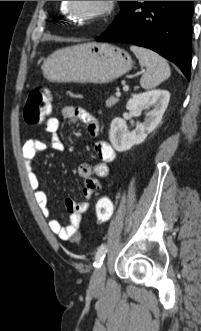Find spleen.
<instances>
[{"instance_id": "spleen-1", "label": "spleen", "mask_w": 201, "mask_h": 331, "mask_svg": "<svg viewBox=\"0 0 201 331\" xmlns=\"http://www.w3.org/2000/svg\"><path fill=\"white\" fill-rule=\"evenodd\" d=\"M130 50L138 58L140 65L145 67L140 79L142 88L146 90L155 88L170 77L169 64L162 56L150 49L136 45H131Z\"/></svg>"}]
</instances>
